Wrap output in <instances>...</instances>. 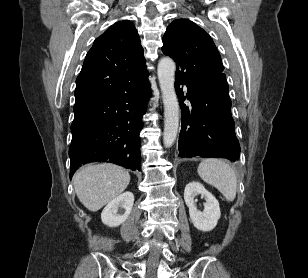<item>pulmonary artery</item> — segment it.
<instances>
[{
    "mask_svg": "<svg viewBox=\"0 0 308 278\" xmlns=\"http://www.w3.org/2000/svg\"><path fill=\"white\" fill-rule=\"evenodd\" d=\"M184 90H185V91H187V88H186V86H184Z\"/></svg>",
    "mask_w": 308,
    "mask_h": 278,
    "instance_id": "obj_1",
    "label": "pulmonary artery"
}]
</instances>
